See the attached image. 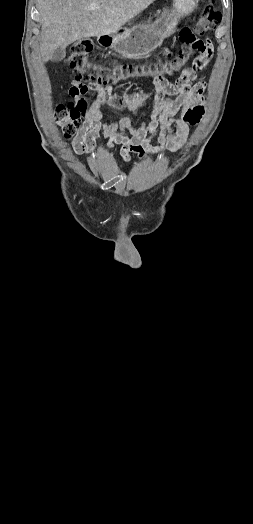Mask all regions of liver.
Listing matches in <instances>:
<instances>
[{
    "mask_svg": "<svg viewBox=\"0 0 253 524\" xmlns=\"http://www.w3.org/2000/svg\"><path fill=\"white\" fill-rule=\"evenodd\" d=\"M155 0H37L41 16L40 55L47 62L59 47L109 35ZM91 5L96 8L91 10Z\"/></svg>",
    "mask_w": 253,
    "mask_h": 524,
    "instance_id": "1",
    "label": "liver"
}]
</instances>
